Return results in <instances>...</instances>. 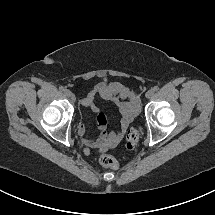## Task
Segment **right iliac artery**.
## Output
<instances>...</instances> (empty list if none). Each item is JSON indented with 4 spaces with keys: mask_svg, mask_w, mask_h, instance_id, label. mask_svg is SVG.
I'll list each match as a JSON object with an SVG mask.
<instances>
[{
    "mask_svg": "<svg viewBox=\"0 0 215 215\" xmlns=\"http://www.w3.org/2000/svg\"><path fill=\"white\" fill-rule=\"evenodd\" d=\"M59 90H60V91H65V88H64L63 86H60V87H59Z\"/></svg>",
    "mask_w": 215,
    "mask_h": 215,
    "instance_id": "1",
    "label": "right iliac artery"
}]
</instances>
